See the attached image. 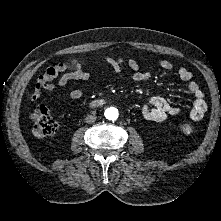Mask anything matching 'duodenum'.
<instances>
[{"mask_svg": "<svg viewBox=\"0 0 221 221\" xmlns=\"http://www.w3.org/2000/svg\"><path fill=\"white\" fill-rule=\"evenodd\" d=\"M94 104H99V103H97V102H94Z\"/></svg>", "mask_w": 221, "mask_h": 221, "instance_id": "obj_1", "label": "duodenum"}]
</instances>
